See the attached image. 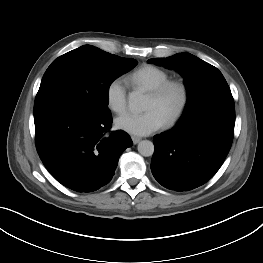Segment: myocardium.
I'll list each match as a JSON object with an SVG mask.
<instances>
[{
  "label": "myocardium",
  "mask_w": 263,
  "mask_h": 263,
  "mask_svg": "<svg viewBox=\"0 0 263 263\" xmlns=\"http://www.w3.org/2000/svg\"><path fill=\"white\" fill-rule=\"evenodd\" d=\"M171 92L178 94V103L164 120L166 126L174 124L184 113L190 97L188 86L182 80H168L149 91V95L157 100L164 99Z\"/></svg>",
  "instance_id": "myocardium-1"
}]
</instances>
